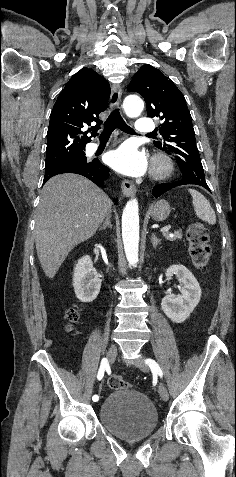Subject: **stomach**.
I'll list each match as a JSON object with an SVG mask.
<instances>
[{
  "mask_svg": "<svg viewBox=\"0 0 236 477\" xmlns=\"http://www.w3.org/2000/svg\"><path fill=\"white\" fill-rule=\"evenodd\" d=\"M150 214L156 221L165 220L170 214V205L165 200H159L150 208Z\"/></svg>",
  "mask_w": 236,
  "mask_h": 477,
  "instance_id": "0dacf381",
  "label": "stomach"
}]
</instances>
